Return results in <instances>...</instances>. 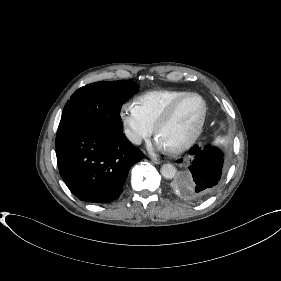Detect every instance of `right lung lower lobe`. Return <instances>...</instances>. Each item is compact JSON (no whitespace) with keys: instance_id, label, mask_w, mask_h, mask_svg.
<instances>
[{"instance_id":"1","label":"right lung lower lobe","mask_w":281,"mask_h":281,"mask_svg":"<svg viewBox=\"0 0 281 281\" xmlns=\"http://www.w3.org/2000/svg\"><path fill=\"white\" fill-rule=\"evenodd\" d=\"M60 175L71 192L91 203L114 201L123 191L130 168L144 154L122 129H88L56 138Z\"/></svg>"}]
</instances>
